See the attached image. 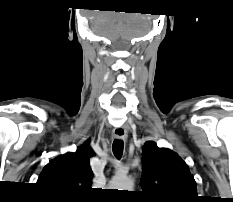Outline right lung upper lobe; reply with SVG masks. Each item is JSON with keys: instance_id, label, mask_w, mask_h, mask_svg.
<instances>
[{"instance_id": "obj_1", "label": "right lung upper lobe", "mask_w": 233, "mask_h": 202, "mask_svg": "<svg viewBox=\"0 0 233 202\" xmlns=\"http://www.w3.org/2000/svg\"><path fill=\"white\" fill-rule=\"evenodd\" d=\"M93 155V150L85 142L75 153H66L50 161L37 183L57 195H83L90 190L93 172L89 159Z\"/></svg>"}]
</instances>
